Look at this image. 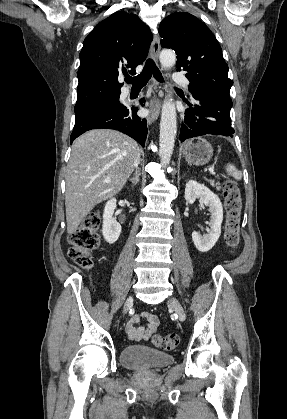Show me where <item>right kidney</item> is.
<instances>
[{"label":"right kidney","mask_w":287,"mask_h":419,"mask_svg":"<svg viewBox=\"0 0 287 419\" xmlns=\"http://www.w3.org/2000/svg\"><path fill=\"white\" fill-rule=\"evenodd\" d=\"M116 209V199L112 198L105 204L103 212V237L109 244L115 243L121 234V225L113 217Z\"/></svg>","instance_id":"1"}]
</instances>
